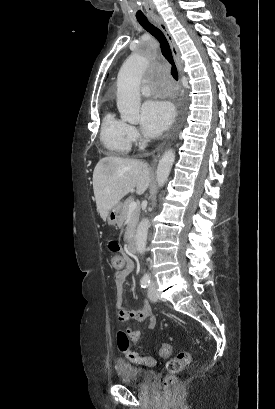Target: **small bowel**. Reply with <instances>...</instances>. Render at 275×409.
Here are the masks:
<instances>
[{
    "label": "small bowel",
    "mask_w": 275,
    "mask_h": 409,
    "mask_svg": "<svg viewBox=\"0 0 275 409\" xmlns=\"http://www.w3.org/2000/svg\"><path fill=\"white\" fill-rule=\"evenodd\" d=\"M133 265L131 262H127L126 268L118 271L115 277L116 284L120 286L123 282L124 274L129 272L132 269ZM123 268V267H122ZM116 317L119 321H137L144 322L147 329H154L157 323V319L153 314V308L149 301H145L140 308L128 310L121 306H118L116 309ZM118 334L116 336L117 345L119 350L124 354L126 360H132L133 366L147 365L153 366L156 364V361L150 357H143L141 351H132L130 347L133 344V338L135 341L139 340L141 333L136 331L134 325H129L127 327V332H125L124 326L118 327ZM131 334V335H129ZM142 359V361H141ZM149 360H152L150 363Z\"/></svg>",
    "instance_id": "c3829d8e"
}]
</instances>
